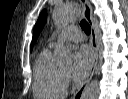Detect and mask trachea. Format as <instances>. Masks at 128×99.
Wrapping results in <instances>:
<instances>
[{
    "label": "trachea",
    "instance_id": "trachea-1",
    "mask_svg": "<svg viewBox=\"0 0 128 99\" xmlns=\"http://www.w3.org/2000/svg\"><path fill=\"white\" fill-rule=\"evenodd\" d=\"M80 26H81L82 30H83L86 34H90V33H91V27H90L89 23H88L85 19H82V20H81Z\"/></svg>",
    "mask_w": 128,
    "mask_h": 99
}]
</instances>
